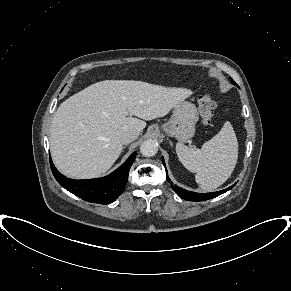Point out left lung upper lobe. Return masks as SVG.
<instances>
[{"label": "left lung upper lobe", "instance_id": "obj_1", "mask_svg": "<svg viewBox=\"0 0 291 291\" xmlns=\"http://www.w3.org/2000/svg\"><path fill=\"white\" fill-rule=\"evenodd\" d=\"M231 82L233 83V84H235V82L231 79ZM236 85V84H235Z\"/></svg>", "mask_w": 291, "mask_h": 291}]
</instances>
